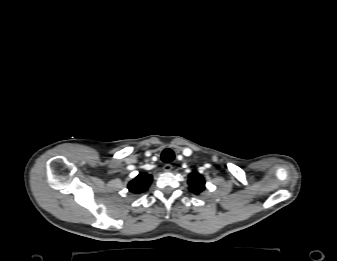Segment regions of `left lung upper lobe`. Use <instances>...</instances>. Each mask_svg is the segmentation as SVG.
Returning a JSON list of instances; mask_svg holds the SVG:
<instances>
[{
    "mask_svg": "<svg viewBox=\"0 0 337 261\" xmlns=\"http://www.w3.org/2000/svg\"><path fill=\"white\" fill-rule=\"evenodd\" d=\"M189 190L198 195L205 189V181L198 172H193L188 179Z\"/></svg>",
    "mask_w": 337,
    "mask_h": 261,
    "instance_id": "1",
    "label": "left lung upper lobe"
}]
</instances>
